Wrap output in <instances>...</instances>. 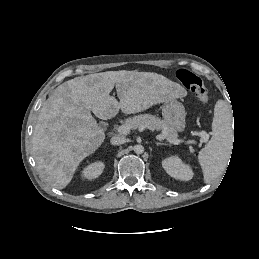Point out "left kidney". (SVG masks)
Returning <instances> with one entry per match:
<instances>
[{
    "label": "left kidney",
    "instance_id": "left-kidney-1",
    "mask_svg": "<svg viewBox=\"0 0 259 259\" xmlns=\"http://www.w3.org/2000/svg\"><path fill=\"white\" fill-rule=\"evenodd\" d=\"M162 167L171 177L182 181L193 178V171L188 164H185L178 156H171L162 161Z\"/></svg>",
    "mask_w": 259,
    "mask_h": 259
}]
</instances>
